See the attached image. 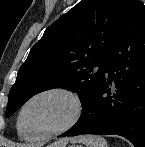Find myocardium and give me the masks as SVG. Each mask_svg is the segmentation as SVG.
I'll return each mask as SVG.
<instances>
[{"label": "myocardium", "instance_id": "obj_1", "mask_svg": "<svg viewBox=\"0 0 145 147\" xmlns=\"http://www.w3.org/2000/svg\"><path fill=\"white\" fill-rule=\"evenodd\" d=\"M48 95H61L69 99L73 105V114L71 118L63 126L57 129L39 133V134H26L22 129V118L26 108L35 100L44 96H48ZM83 111H84L83 101L80 95L76 91L70 88L61 87V86L46 88L32 94L23 102L17 114V119H16L17 130L23 133L30 140H41L45 138L54 137L62 133H65L71 128H73L81 119L83 115Z\"/></svg>", "mask_w": 145, "mask_h": 147}]
</instances>
